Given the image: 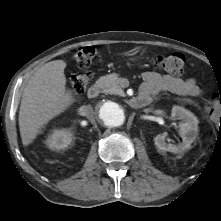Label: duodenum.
Returning a JSON list of instances; mask_svg holds the SVG:
<instances>
[{
	"mask_svg": "<svg viewBox=\"0 0 221 221\" xmlns=\"http://www.w3.org/2000/svg\"><path fill=\"white\" fill-rule=\"evenodd\" d=\"M100 85L93 84L87 92L89 98H96L100 93ZM152 102V98L148 94H139L130 99V105L134 108H142L149 105Z\"/></svg>",
	"mask_w": 221,
	"mask_h": 221,
	"instance_id": "410a0bca",
	"label": "duodenum"
}]
</instances>
